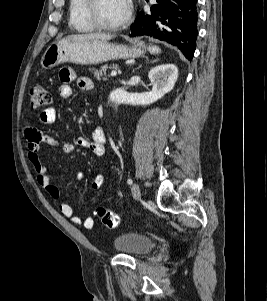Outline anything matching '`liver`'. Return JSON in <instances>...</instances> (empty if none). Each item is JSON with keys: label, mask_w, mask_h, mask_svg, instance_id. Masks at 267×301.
<instances>
[{"label": "liver", "mask_w": 267, "mask_h": 301, "mask_svg": "<svg viewBox=\"0 0 267 301\" xmlns=\"http://www.w3.org/2000/svg\"><path fill=\"white\" fill-rule=\"evenodd\" d=\"M113 35L104 34V33H90V34H79V35H70L65 39L73 40V41H87V40H104L108 41L113 39Z\"/></svg>", "instance_id": "6515ba94"}]
</instances>
